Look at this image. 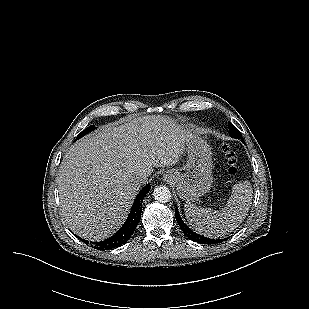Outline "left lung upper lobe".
Instances as JSON below:
<instances>
[{
  "mask_svg": "<svg viewBox=\"0 0 309 309\" xmlns=\"http://www.w3.org/2000/svg\"><path fill=\"white\" fill-rule=\"evenodd\" d=\"M229 135L236 139H242L241 132L229 121Z\"/></svg>",
  "mask_w": 309,
  "mask_h": 309,
  "instance_id": "1",
  "label": "left lung upper lobe"
}]
</instances>
